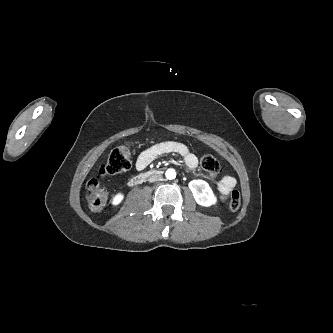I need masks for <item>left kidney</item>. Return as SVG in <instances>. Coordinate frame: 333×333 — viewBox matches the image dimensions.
Listing matches in <instances>:
<instances>
[{
	"instance_id": "5707ae66",
	"label": "left kidney",
	"mask_w": 333,
	"mask_h": 333,
	"mask_svg": "<svg viewBox=\"0 0 333 333\" xmlns=\"http://www.w3.org/2000/svg\"><path fill=\"white\" fill-rule=\"evenodd\" d=\"M189 188L193 193L194 199L199 205L208 207L216 202V197L209 184L201 179L189 182Z\"/></svg>"
}]
</instances>
